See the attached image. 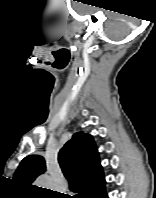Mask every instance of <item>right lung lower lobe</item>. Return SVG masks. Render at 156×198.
<instances>
[{
    "label": "right lung lower lobe",
    "instance_id": "1",
    "mask_svg": "<svg viewBox=\"0 0 156 198\" xmlns=\"http://www.w3.org/2000/svg\"><path fill=\"white\" fill-rule=\"evenodd\" d=\"M93 198H108L105 192V188L101 190L99 193H97L95 196H93Z\"/></svg>",
    "mask_w": 156,
    "mask_h": 198
}]
</instances>
